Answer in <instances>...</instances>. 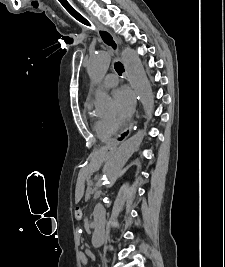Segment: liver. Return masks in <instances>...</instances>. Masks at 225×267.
I'll return each instance as SVG.
<instances>
[{
	"instance_id": "obj_1",
	"label": "liver",
	"mask_w": 225,
	"mask_h": 267,
	"mask_svg": "<svg viewBox=\"0 0 225 267\" xmlns=\"http://www.w3.org/2000/svg\"><path fill=\"white\" fill-rule=\"evenodd\" d=\"M105 160V156L103 155V153L101 151H97L95 153H93L92 158H91V162L88 165V167L86 168L87 172H94L99 170V168L101 167L103 161ZM83 195V186H81L80 188H78L77 192H76V201H79L80 198Z\"/></svg>"
}]
</instances>
